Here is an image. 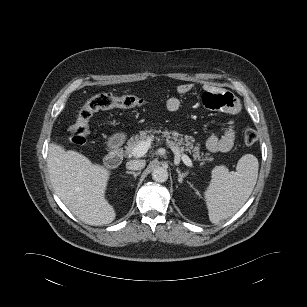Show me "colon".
<instances>
[{
    "mask_svg": "<svg viewBox=\"0 0 307 307\" xmlns=\"http://www.w3.org/2000/svg\"><path fill=\"white\" fill-rule=\"evenodd\" d=\"M143 104V99L136 95L125 94L116 96L107 92H100L90 97L80 108L75 121L69 125V141L73 145H84L89 134V121L91 117L103 110L112 108L130 109ZM244 142L253 145L257 141V132L254 129H247L244 132Z\"/></svg>",
    "mask_w": 307,
    "mask_h": 307,
    "instance_id": "colon-1",
    "label": "colon"
}]
</instances>
